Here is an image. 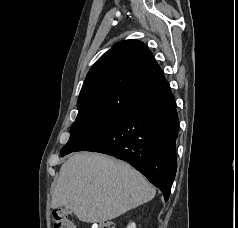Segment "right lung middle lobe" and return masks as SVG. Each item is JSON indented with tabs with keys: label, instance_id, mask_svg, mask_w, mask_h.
<instances>
[{
	"label": "right lung middle lobe",
	"instance_id": "dd1d6c3e",
	"mask_svg": "<svg viewBox=\"0 0 238 228\" xmlns=\"http://www.w3.org/2000/svg\"><path fill=\"white\" fill-rule=\"evenodd\" d=\"M125 111L87 110L78 112L70 130V139L61 149V156L69 154L90 140Z\"/></svg>",
	"mask_w": 238,
	"mask_h": 228
}]
</instances>
